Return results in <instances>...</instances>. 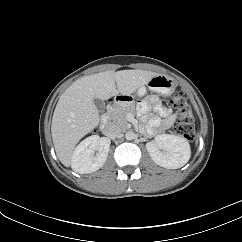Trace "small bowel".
<instances>
[{"label":"small bowel","instance_id":"1","mask_svg":"<svg viewBox=\"0 0 242 242\" xmlns=\"http://www.w3.org/2000/svg\"><path fill=\"white\" fill-rule=\"evenodd\" d=\"M137 111L140 116L147 120V129L150 134L169 128L175 120V114L172 110L162 105H157V115L154 116H147L148 105L146 102L140 103Z\"/></svg>","mask_w":242,"mask_h":242}]
</instances>
